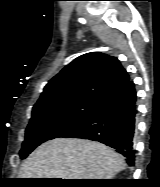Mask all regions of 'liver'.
Listing matches in <instances>:
<instances>
[{
	"mask_svg": "<svg viewBox=\"0 0 160 187\" xmlns=\"http://www.w3.org/2000/svg\"><path fill=\"white\" fill-rule=\"evenodd\" d=\"M124 158L99 142L55 138L36 148L23 162L21 178L112 179Z\"/></svg>",
	"mask_w": 160,
	"mask_h": 187,
	"instance_id": "obj_1",
	"label": "liver"
}]
</instances>
